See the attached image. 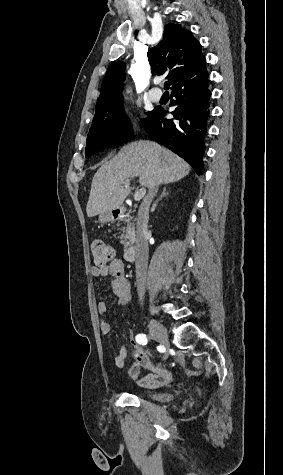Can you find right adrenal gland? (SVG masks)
<instances>
[{"mask_svg":"<svg viewBox=\"0 0 283 475\" xmlns=\"http://www.w3.org/2000/svg\"><path fill=\"white\" fill-rule=\"evenodd\" d=\"M166 196H168V192H167L166 188H163V192H162L160 198H158V200H156V202H154V204L152 206V210H156L158 202H160V200H162V198H166Z\"/></svg>","mask_w":283,"mask_h":475,"instance_id":"1","label":"right adrenal gland"}]
</instances>
